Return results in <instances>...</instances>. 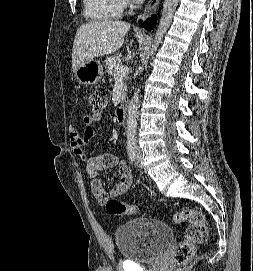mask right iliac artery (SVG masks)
Instances as JSON below:
<instances>
[{
  "label": "right iliac artery",
  "instance_id": "obj_1",
  "mask_svg": "<svg viewBox=\"0 0 253 271\" xmlns=\"http://www.w3.org/2000/svg\"><path fill=\"white\" fill-rule=\"evenodd\" d=\"M127 152L131 163H133L136 159V142L129 141L127 143Z\"/></svg>",
  "mask_w": 253,
  "mask_h": 271
}]
</instances>
